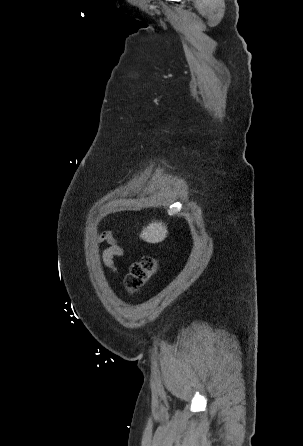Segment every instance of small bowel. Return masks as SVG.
I'll return each instance as SVG.
<instances>
[{
  "mask_svg": "<svg viewBox=\"0 0 303 446\" xmlns=\"http://www.w3.org/2000/svg\"><path fill=\"white\" fill-rule=\"evenodd\" d=\"M96 244L107 243L108 247L102 252V261L106 267H108L113 273H117V267L115 265V258L124 256V250L119 245L113 234L110 232L100 233L95 238Z\"/></svg>",
  "mask_w": 303,
  "mask_h": 446,
  "instance_id": "c3829d8e",
  "label": "small bowel"
}]
</instances>
